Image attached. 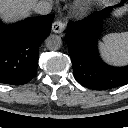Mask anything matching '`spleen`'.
Returning <instances> with one entry per match:
<instances>
[{"instance_id": "obj_1", "label": "spleen", "mask_w": 128, "mask_h": 128, "mask_svg": "<svg viewBox=\"0 0 128 128\" xmlns=\"http://www.w3.org/2000/svg\"><path fill=\"white\" fill-rule=\"evenodd\" d=\"M102 40L99 49L105 60L113 64L128 63V32L111 33Z\"/></svg>"}]
</instances>
